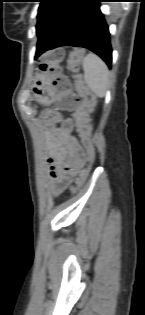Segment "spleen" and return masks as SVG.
<instances>
[{
    "label": "spleen",
    "mask_w": 145,
    "mask_h": 315,
    "mask_svg": "<svg viewBox=\"0 0 145 315\" xmlns=\"http://www.w3.org/2000/svg\"><path fill=\"white\" fill-rule=\"evenodd\" d=\"M84 80L91 91L100 98L106 95L109 85V71L104 61L94 53L82 60Z\"/></svg>",
    "instance_id": "1"
}]
</instances>
